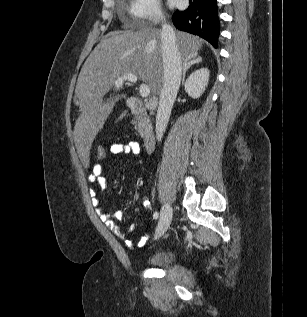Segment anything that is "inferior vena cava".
Wrapping results in <instances>:
<instances>
[{
  "mask_svg": "<svg viewBox=\"0 0 307 317\" xmlns=\"http://www.w3.org/2000/svg\"><path fill=\"white\" fill-rule=\"evenodd\" d=\"M161 50L163 58V85L159 96L155 127L158 141H161L163 133L166 130L182 75V58L177 49L175 32L165 22V19L161 31Z\"/></svg>",
  "mask_w": 307,
  "mask_h": 317,
  "instance_id": "obj_1",
  "label": "inferior vena cava"
}]
</instances>
